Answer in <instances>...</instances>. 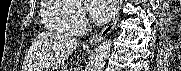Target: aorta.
<instances>
[{
    "label": "aorta",
    "instance_id": "1",
    "mask_svg": "<svg viewBox=\"0 0 181 71\" xmlns=\"http://www.w3.org/2000/svg\"><path fill=\"white\" fill-rule=\"evenodd\" d=\"M111 46V40H104L91 56L86 71H103Z\"/></svg>",
    "mask_w": 181,
    "mask_h": 71
}]
</instances>
